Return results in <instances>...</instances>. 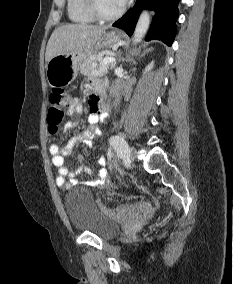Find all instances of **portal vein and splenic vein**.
I'll use <instances>...</instances> for the list:
<instances>
[{
  "label": "portal vein and splenic vein",
  "instance_id": "portal-vein-and-splenic-vein-1",
  "mask_svg": "<svg viewBox=\"0 0 233 284\" xmlns=\"http://www.w3.org/2000/svg\"><path fill=\"white\" fill-rule=\"evenodd\" d=\"M116 62V59L113 58V57H105L102 61L103 64H108V63H115ZM93 66H96L97 64L96 63H93L92 64Z\"/></svg>",
  "mask_w": 233,
  "mask_h": 284
}]
</instances>
